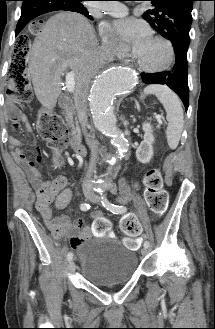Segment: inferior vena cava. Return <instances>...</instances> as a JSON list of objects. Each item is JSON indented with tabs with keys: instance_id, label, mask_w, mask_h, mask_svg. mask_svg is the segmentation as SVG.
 <instances>
[{
	"instance_id": "602c4592",
	"label": "inferior vena cava",
	"mask_w": 215,
	"mask_h": 329,
	"mask_svg": "<svg viewBox=\"0 0 215 329\" xmlns=\"http://www.w3.org/2000/svg\"><path fill=\"white\" fill-rule=\"evenodd\" d=\"M94 59L99 64L103 65L105 60L111 59L112 54L110 51V48L103 45L102 47H99L94 55ZM90 81L85 80L78 88L75 90L74 94V102H75V108L77 111L78 119L80 121L83 134L86 138V143L89 146L91 150V161L90 165L87 171V178L90 179L92 176V173L95 168V160L97 157V150H98V142L91 138L90 135L87 133L86 125H87V97H88V90H89Z\"/></svg>"
}]
</instances>
